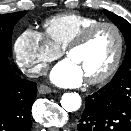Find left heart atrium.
Instances as JSON below:
<instances>
[{
  "label": "left heart atrium",
  "mask_w": 131,
  "mask_h": 131,
  "mask_svg": "<svg viewBox=\"0 0 131 131\" xmlns=\"http://www.w3.org/2000/svg\"><path fill=\"white\" fill-rule=\"evenodd\" d=\"M50 78L53 83L61 87L79 86L84 79L80 69L69 59L57 64L51 71Z\"/></svg>",
  "instance_id": "1"
}]
</instances>
